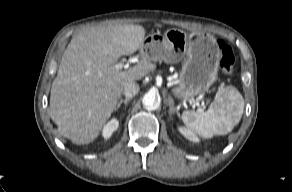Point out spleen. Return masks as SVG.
Returning <instances> with one entry per match:
<instances>
[{"label":"spleen","mask_w":292,"mask_h":192,"mask_svg":"<svg viewBox=\"0 0 292 192\" xmlns=\"http://www.w3.org/2000/svg\"><path fill=\"white\" fill-rule=\"evenodd\" d=\"M244 99L232 86L221 88L206 112L184 111L182 121L186 127L204 139L230 133L242 117Z\"/></svg>","instance_id":"obj_1"}]
</instances>
